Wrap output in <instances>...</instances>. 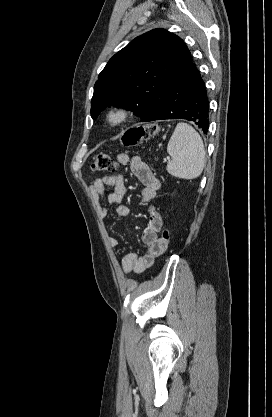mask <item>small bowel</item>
Wrapping results in <instances>:
<instances>
[{"label": "small bowel", "mask_w": 272, "mask_h": 417, "mask_svg": "<svg viewBox=\"0 0 272 417\" xmlns=\"http://www.w3.org/2000/svg\"><path fill=\"white\" fill-rule=\"evenodd\" d=\"M117 160L121 164H129L132 173L143 184L141 192V200L148 203L156 198L161 190L160 181L154 176L149 166L140 156L130 157L126 153L117 155ZM111 189V192L106 196V189ZM89 191L92 198L99 206V214L101 217L107 216V208L102 205L103 201H107L110 205H116V213L120 217H127L130 213L128 206L121 204L126 194V186L123 175L115 174L96 178L89 186ZM163 227V218L161 214L153 207L148 211V226L142 234V241L146 245V250L143 254L128 253L121 260V267L124 273H142L149 268L154 260L162 255L168 244H164L159 237V233ZM109 243L113 247L119 245V240L116 237H110Z\"/></svg>", "instance_id": "1"}]
</instances>
